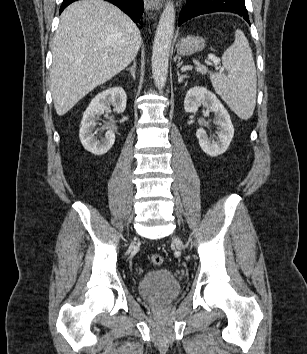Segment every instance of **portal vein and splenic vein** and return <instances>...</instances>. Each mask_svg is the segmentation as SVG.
I'll list each match as a JSON object with an SVG mask.
<instances>
[{"label":"portal vein and splenic vein","mask_w":307,"mask_h":354,"mask_svg":"<svg viewBox=\"0 0 307 354\" xmlns=\"http://www.w3.org/2000/svg\"><path fill=\"white\" fill-rule=\"evenodd\" d=\"M208 59L211 60L214 63L215 66H217L220 63V59H218L215 56L209 55Z\"/></svg>","instance_id":"obj_1"}]
</instances>
